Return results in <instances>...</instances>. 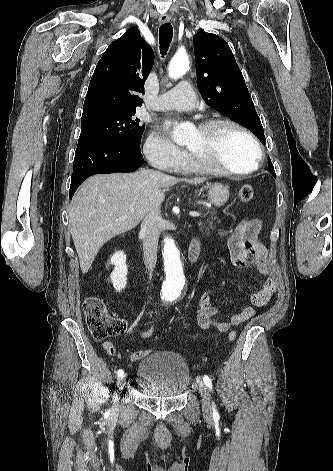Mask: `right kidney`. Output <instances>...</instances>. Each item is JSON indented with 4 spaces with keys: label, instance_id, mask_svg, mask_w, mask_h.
Returning <instances> with one entry per match:
<instances>
[{
    "label": "right kidney",
    "instance_id": "obj_1",
    "mask_svg": "<svg viewBox=\"0 0 333 471\" xmlns=\"http://www.w3.org/2000/svg\"><path fill=\"white\" fill-rule=\"evenodd\" d=\"M111 264L114 265V270L111 273V281L113 283V287L117 292L122 291L125 289L127 285V274L128 269L126 265V255L124 252L119 251L116 252L111 257Z\"/></svg>",
    "mask_w": 333,
    "mask_h": 471
}]
</instances>
